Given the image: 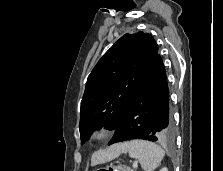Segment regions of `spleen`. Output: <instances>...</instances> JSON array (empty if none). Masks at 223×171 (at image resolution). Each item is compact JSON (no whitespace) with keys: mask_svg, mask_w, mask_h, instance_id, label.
Here are the masks:
<instances>
[{"mask_svg":"<svg viewBox=\"0 0 223 171\" xmlns=\"http://www.w3.org/2000/svg\"><path fill=\"white\" fill-rule=\"evenodd\" d=\"M126 146L129 156L138 160L144 171H154L165 156V151L153 142L132 140Z\"/></svg>","mask_w":223,"mask_h":171,"instance_id":"obj_1","label":"spleen"}]
</instances>
